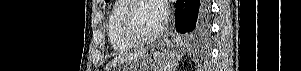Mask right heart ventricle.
<instances>
[{
	"label": "right heart ventricle",
	"instance_id": "obj_1",
	"mask_svg": "<svg viewBox=\"0 0 301 71\" xmlns=\"http://www.w3.org/2000/svg\"><path fill=\"white\" fill-rule=\"evenodd\" d=\"M128 3L129 0L115 1L107 21V34L110 44L118 52L128 51L136 46L124 36L121 27V17Z\"/></svg>",
	"mask_w": 301,
	"mask_h": 71
}]
</instances>
